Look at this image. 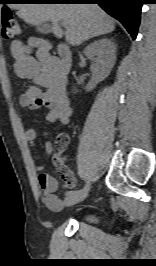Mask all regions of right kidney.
Segmentation results:
<instances>
[{
    "label": "right kidney",
    "instance_id": "1",
    "mask_svg": "<svg viewBox=\"0 0 156 266\" xmlns=\"http://www.w3.org/2000/svg\"><path fill=\"white\" fill-rule=\"evenodd\" d=\"M116 44L112 39L102 38L90 43L84 54L93 61L91 66L92 77L86 86V91H91L104 80L112 70L116 60Z\"/></svg>",
    "mask_w": 156,
    "mask_h": 266
}]
</instances>
